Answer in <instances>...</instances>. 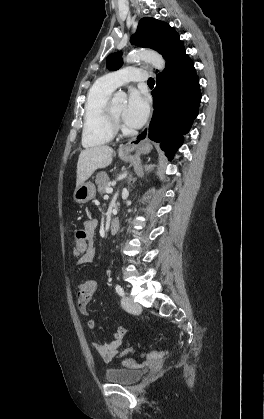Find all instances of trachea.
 I'll list each match as a JSON object with an SVG mask.
<instances>
[{
	"label": "trachea",
	"instance_id": "1",
	"mask_svg": "<svg viewBox=\"0 0 264 419\" xmlns=\"http://www.w3.org/2000/svg\"><path fill=\"white\" fill-rule=\"evenodd\" d=\"M154 83H155L154 79L153 78H149L148 84H154Z\"/></svg>",
	"mask_w": 264,
	"mask_h": 419
}]
</instances>
